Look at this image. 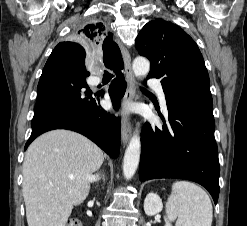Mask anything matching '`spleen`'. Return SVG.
<instances>
[{
  "label": "spleen",
  "mask_w": 247,
  "mask_h": 226,
  "mask_svg": "<svg viewBox=\"0 0 247 226\" xmlns=\"http://www.w3.org/2000/svg\"><path fill=\"white\" fill-rule=\"evenodd\" d=\"M167 213L176 226H211L213 208L207 193L194 183L177 181L168 198Z\"/></svg>",
  "instance_id": "3e777b00"
}]
</instances>
